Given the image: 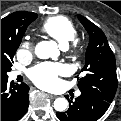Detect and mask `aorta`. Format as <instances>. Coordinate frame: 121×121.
<instances>
[{"mask_svg":"<svg viewBox=\"0 0 121 121\" xmlns=\"http://www.w3.org/2000/svg\"><path fill=\"white\" fill-rule=\"evenodd\" d=\"M35 54L40 59L56 58L59 54L57 45L53 41H41L35 47ZM68 107L65 98H57L54 101V108L58 112H64Z\"/></svg>","mask_w":121,"mask_h":121,"instance_id":"obj_1","label":"aorta"}]
</instances>
